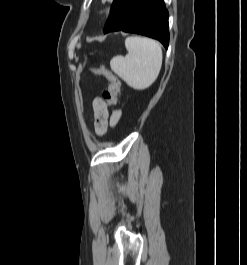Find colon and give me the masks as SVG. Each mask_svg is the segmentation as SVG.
<instances>
[{
	"mask_svg": "<svg viewBox=\"0 0 247 265\" xmlns=\"http://www.w3.org/2000/svg\"><path fill=\"white\" fill-rule=\"evenodd\" d=\"M91 70L94 74L104 77L108 82L107 89L102 94L103 100L109 106L116 104L121 86L119 79L104 66H95Z\"/></svg>",
	"mask_w": 247,
	"mask_h": 265,
	"instance_id": "1",
	"label": "colon"
}]
</instances>
